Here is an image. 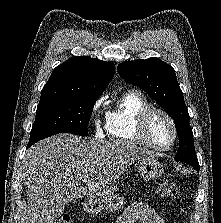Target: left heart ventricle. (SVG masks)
<instances>
[{
	"instance_id": "1",
	"label": "left heart ventricle",
	"mask_w": 221,
	"mask_h": 223,
	"mask_svg": "<svg viewBox=\"0 0 221 223\" xmlns=\"http://www.w3.org/2000/svg\"><path fill=\"white\" fill-rule=\"evenodd\" d=\"M150 139L159 146H167L173 139V131L168 120L161 114H154L149 121Z\"/></svg>"
}]
</instances>
